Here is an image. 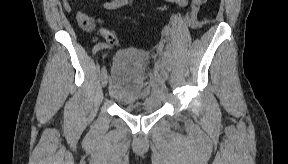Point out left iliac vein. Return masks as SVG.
I'll list each match as a JSON object with an SVG mask.
<instances>
[{
  "mask_svg": "<svg viewBox=\"0 0 288 164\" xmlns=\"http://www.w3.org/2000/svg\"><path fill=\"white\" fill-rule=\"evenodd\" d=\"M167 71H168L167 65L164 64L163 67H162V72H163V74H164L165 76L167 75Z\"/></svg>",
  "mask_w": 288,
  "mask_h": 164,
  "instance_id": "obj_1",
  "label": "left iliac vein"
}]
</instances>
